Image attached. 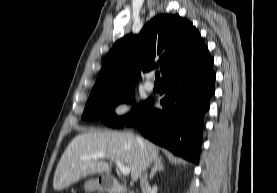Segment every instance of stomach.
I'll return each mask as SVG.
<instances>
[{"instance_id": "1", "label": "stomach", "mask_w": 277, "mask_h": 193, "mask_svg": "<svg viewBox=\"0 0 277 193\" xmlns=\"http://www.w3.org/2000/svg\"><path fill=\"white\" fill-rule=\"evenodd\" d=\"M84 188L87 192H93L96 190L109 191L112 188L111 179L105 176L96 179H90L85 182Z\"/></svg>"}]
</instances>
